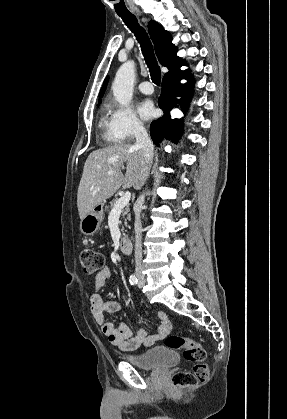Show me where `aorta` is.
I'll list each match as a JSON object with an SVG mask.
<instances>
[{
	"instance_id": "aorta-1",
	"label": "aorta",
	"mask_w": 287,
	"mask_h": 419,
	"mask_svg": "<svg viewBox=\"0 0 287 419\" xmlns=\"http://www.w3.org/2000/svg\"><path fill=\"white\" fill-rule=\"evenodd\" d=\"M134 80L135 63L130 60L120 66L112 84L113 95L121 106L130 103L133 96Z\"/></svg>"
}]
</instances>
